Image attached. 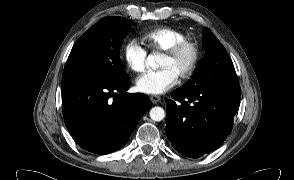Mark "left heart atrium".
I'll list each match as a JSON object with an SVG mask.
<instances>
[{"label":"left heart atrium","mask_w":294,"mask_h":180,"mask_svg":"<svg viewBox=\"0 0 294 180\" xmlns=\"http://www.w3.org/2000/svg\"><path fill=\"white\" fill-rule=\"evenodd\" d=\"M178 81V76L169 68L149 71L136 80V89L144 94L160 95L167 92Z\"/></svg>","instance_id":"obj_1"}]
</instances>
